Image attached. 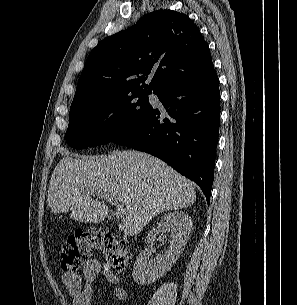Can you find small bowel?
Wrapping results in <instances>:
<instances>
[{
  "label": "small bowel",
  "instance_id": "obj_1",
  "mask_svg": "<svg viewBox=\"0 0 297 305\" xmlns=\"http://www.w3.org/2000/svg\"><path fill=\"white\" fill-rule=\"evenodd\" d=\"M100 273L108 282L116 285L113 292L118 301L127 299L126 289L117 285L119 276L112 272L108 265L103 266L99 260L94 259L83 267L81 274L74 271H66L62 274L63 284L72 298L73 305H91L94 281Z\"/></svg>",
  "mask_w": 297,
  "mask_h": 305
}]
</instances>
